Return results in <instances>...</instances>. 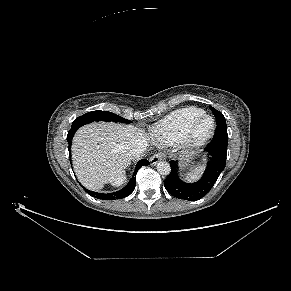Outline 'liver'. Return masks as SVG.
I'll return each mask as SVG.
<instances>
[{
	"mask_svg": "<svg viewBox=\"0 0 291 291\" xmlns=\"http://www.w3.org/2000/svg\"><path fill=\"white\" fill-rule=\"evenodd\" d=\"M146 141L142 129L117 123H91L74 135L71 147L72 163L78 180L90 190H100L104 184L121 181L132 158L128 151L132 143Z\"/></svg>",
	"mask_w": 291,
	"mask_h": 291,
	"instance_id": "obj_1",
	"label": "liver"
}]
</instances>
